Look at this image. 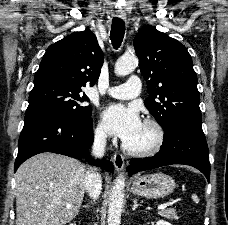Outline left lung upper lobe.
I'll use <instances>...</instances> for the list:
<instances>
[{"label":"left lung upper lobe","mask_w":228,"mask_h":225,"mask_svg":"<svg viewBox=\"0 0 228 225\" xmlns=\"http://www.w3.org/2000/svg\"><path fill=\"white\" fill-rule=\"evenodd\" d=\"M140 71L148 80L145 106L163 129L178 121L201 124L197 76L186 47L154 26L134 38Z\"/></svg>","instance_id":"obj_1"}]
</instances>
